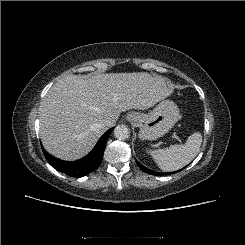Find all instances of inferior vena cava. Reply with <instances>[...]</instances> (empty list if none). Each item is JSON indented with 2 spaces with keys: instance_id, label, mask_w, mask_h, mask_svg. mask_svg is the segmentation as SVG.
I'll use <instances>...</instances> for the list:
<instances>
[{
  "instance_id": "inferior-vena-cava-1",
  "label": "inferior vena cava",
  "mask_w": 245,
  "mask_h": 245,
  "mask_svg": "<svg viewBox=\"0 0 245 245\" xmlns=\"http://www.w3.org/2000/svg\"><path fill=\"white\" fill-rule=\"evenodd\" d=\"M115 125V120L109 119L103 122L102 126L106 129L113 127Z\"/></svg>"
}]
</instances>
